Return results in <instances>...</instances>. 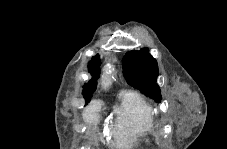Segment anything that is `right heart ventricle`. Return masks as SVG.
<instances>
[{"label": "right heart ventricle", "mask_w": 227, "mask_h": 149, "mask_svg": "<svg viewBox=\"0 0 227 149\" xmlns=\"http://www.w3.org/2000/svg\"><path fill=\"white\" fill-rule=\"evenodd\" d=\"M113 114L112 134L118 146L130 148L155 135L153 107L138 93L123 92Z\"/></svg>", "instance_id": "e07e8e85"}]
</instances>
